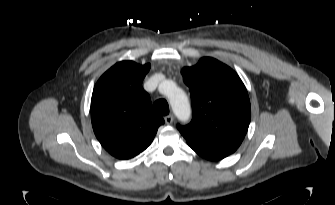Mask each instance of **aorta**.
Wrapping results in <instances>:
<instances>
[{
  "instance_id": "1",
  "label": "aorta",
  "mask_w": 335,
  "mask_h": 205,
  "mask_svg": "<svg viewBox=\"0 0 335 205\" xmlns=\"http://www.w3.org/2000/svg\"><path fill=\"white\" fill-rule=\"evenodd\" d=\"M161 88L162 92L168 96L176 117L181 121L188 120L191 115V107L186 93L171 80L164 81Z\"/></svg>"
}]
</instances>
